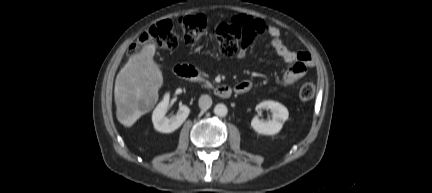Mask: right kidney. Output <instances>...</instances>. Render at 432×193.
<instances>
[{
    "mask_svg": "<svg viewBox=\"0 0 432 193\" xmlns=\"http://www.w3.org/2000/svg\"><path fill=\"white\" fill-rule=\"evenodd\" d=\"M169 106V94L158 104L152 114L154 128L162 133H171L177 130L186 120L190 109L186 105H180L176 115L167 117L166 112Z\"/></svg>",
    "mask_w": 432,
    "mask_h": 193,
    "instance_id": "right-kidney-1",
    "label": "right kidney"
}]
</instances>
